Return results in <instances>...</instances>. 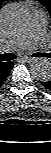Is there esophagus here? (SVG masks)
I'll list each match as a JSON object with an SVG mask.
<instances>
[{
    "mask_svg": "<svg viewBox=\"0 0 51 153\" xmlns=\"http://www.w3.org/2000/svg\"><path fill=\"white\" fill-rule=\"evenodd\" d=\"M20 60H21L22 62H25V63H30V62H32L34 59H33V58H30V57H22V58H20Z\"/></svg>",
    "mask_w": 51,
    "mask_h": 153,
    "instance_id": "obj_1",
    "label": "esophagus"
}]
</instances>
